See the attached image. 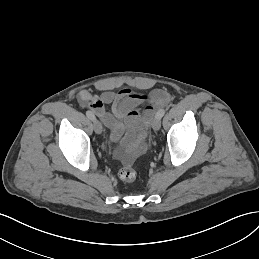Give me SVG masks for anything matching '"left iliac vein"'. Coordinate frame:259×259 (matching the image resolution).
<instances>
[{
  "mask_svg": "<svg viewBox=\"0 0 259 259\" xmlns=\"http://www.w3.org/2000/svg\"><path fill=\"white\" fill-rule=\"evenodd\" d=\"M161 127V120L158 117H155L152 121V128L154 130H159Z\"/></svg>",
  "mask_w": 259,
  "mask_h": 259,
  "instance_id": "4c4485c4",
  "label": "left iliac vein"
}]
</instances>
